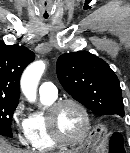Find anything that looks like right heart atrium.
Returning a JSON list of instances; mask_svg holds the SVG:
<instances>
[{
    "instance_id": "obj_1",
    "label": "right heart atrium",
    "mask_w": 130,
    "mask_h": 153,
    "mask_svg": "<svg viewBox=\"0 0 130 153\" xmlns=\"http://www.w3.org/2000/svg\"><path fill=\"white\" fill-rule=\"evenodd\" d=\"M24 111L23 102H19L12 112L11 123L17 134L18 141L22 144H27L29 142V122Z\"/></svg>"
}]
</instances>
